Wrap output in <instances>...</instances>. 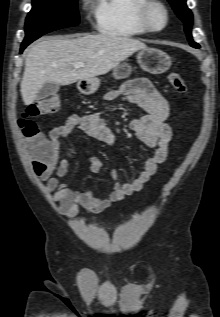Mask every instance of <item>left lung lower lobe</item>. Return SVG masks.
<instances>
[{"label": "left lung lower lobe", "mask_w": 220, "mask_h": 317, "mask_svg": "<svg viewBox=\"0 0 220 317\" xmlns=\"http://www.w3.org/2000/svg\"><path fill=\"white\" fill-rule=\"evenodd\" d=\"M192 47H194V46H192ZM194 48H199V46H195Z\"/></svg>", "instance_id": "0a47b994"}]
</instances>
